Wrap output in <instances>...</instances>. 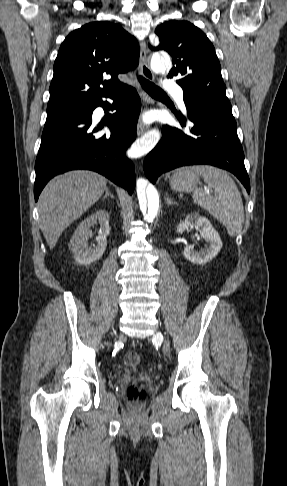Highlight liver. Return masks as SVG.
Wrapping results in <instances>:
<instances>
[{"mask_svg":"<svg viewBox=\"0 0 287 486\" xmlns=\"http://www.w3.org/2000/svg\"><path fill=\"white\" fill-rule=\"evenodd\" d=\"M107 179L95 172L75 170L53 178L38 200L40 227L50 249L61 233L103 195Z\"/></svg>","mask_w":287,"mask_h":486,"instance_id":"obj_1","label":"liver"}]
</instances>
